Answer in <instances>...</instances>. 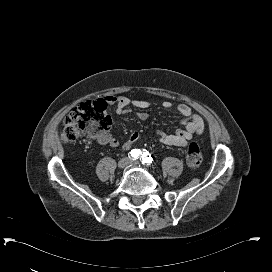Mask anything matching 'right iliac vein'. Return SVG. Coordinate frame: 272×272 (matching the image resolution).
Segmentation results:
<instances>
[{
	"mask_svg": "<svg viewBox=\"0 0 272 272\" xmlns=\"http://www.w3.org/2000/svg\"><path fill=\"white\" fill-rule=\"evenodd\" d=\"M130 162V159L128 157H123L118 162V167L120 169L125 168Z\"/></svg>",
	"mask_w": 272,
	"mask_h": 272,
	"instance_id": "obj_1",
	"label": "right iliac vein"
}]
</instances>
